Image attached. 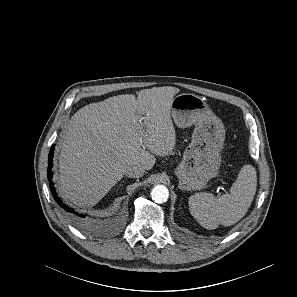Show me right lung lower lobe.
<instances>
[{
    "label": "right lung lower lobe",
    "instance_id": "98d812e1",
    "mask_svg": "<svg viewBox=\"0 0 297 297\" xmlns=\"http://www.w3.org/2000/svg\"><path fill=\"white\" fill-rule=\"evenodd\" d=\"M54 145L51 147L50 153H49V157H48V180L50 182V190L52 192V195L55 199V201L65 210L69 213V215L73 218H75V220H80V217H84L83 214H79L78 212H76L74 209L69 208L68 206H66L65 204L62 203V201L58 198L56 192H55V188L53 186V182H52V158L54 155Z\"/></svg>",
    "mask_w": 297,
    "mask_h": 297
}]
</instances>
